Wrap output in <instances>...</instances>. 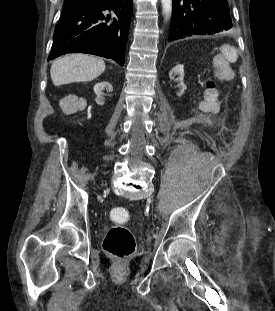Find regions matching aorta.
<instances>
[{
	"instance_id": "aorta-1",
	"label": "aorta",
	"mask_w": 275,
	"mask_h": 311,
	"mask_svg": "<svg viewBox=\"0 0 275 311\" xmlns=\"http://www.w3.org/2000/svg\"><path fill=\"white\" fill-rule=\"evenodd\" d=\"M162 13L164 15L165 22L171 18L172 14V0H161Z\"/></svg>"
}]
</instances>
